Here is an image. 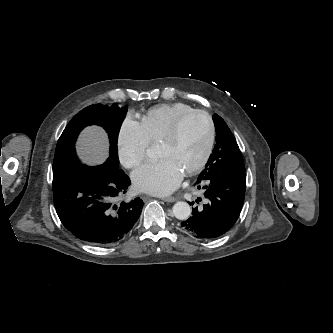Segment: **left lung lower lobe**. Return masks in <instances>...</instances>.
Masks as SVG:
<instances>
[{"mask_svg":"<svg viewBox=\"0 0 333 333\" xmlns=\"http://www.w3.org/2000/svg\"><path fill=\"white\" fill-rule=\"evenodd\" d=\"M245 177V173L222 176L202 171L195 185L202 189L206 202L192 209V216L181 223L184 230L201 239L217 238L230 230L244 203Z\"/></svg>","mask_w":333,"mask_h":333,"instance_id":"0a47b994","label":"left lung lower lobe"}]
</instances>
